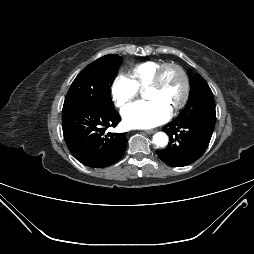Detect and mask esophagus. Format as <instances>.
I'll use <instances>...</instances> for the list:
<instances>
[{
  "instance_id": "obj_1",
  "label": "esophagus",
  "mask_w": 254,
  "mask_h": 254,
  "mask_svg": "<svg viewBox=\"0 0 254 254\" xmlns=\"http://www.w3.org/2000/svg\"><path fill=\"white\" fill-rule=\"evenodd\" d=\"M155 132H156V130H153V129H152V130H146V131H145V133H147V134H153V133H155Z\"/></svg>"
}]
</instances>
